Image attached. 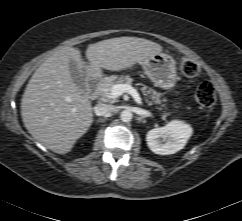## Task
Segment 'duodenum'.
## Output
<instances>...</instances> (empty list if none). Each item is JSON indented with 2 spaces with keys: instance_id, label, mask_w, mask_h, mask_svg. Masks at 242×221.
I'll return each mask as SVG.
<instances>
[{
  "instance_id": "duodenum-1",
  "label": "duodenum",
  "mask_w": 242,
  "mask_h": 221,
  "mask_svg": "<svg viewBox=\"0 0 242 221\" xmlns=\"http://www.w3.org/2000/svg\"><path fill=\"white\" fill-rule=\"evenodd\" d=\"M101 81V76L91 75L88 83L87 96L88 98H95L98 93L99 82Z\"/></svg>"
}]
</instances>
